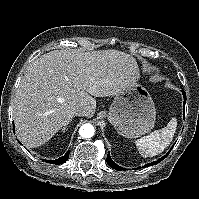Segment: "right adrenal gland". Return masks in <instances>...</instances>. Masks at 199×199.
Instances as JSON below:
<instances>
[{
    "mask_svg": "<svg viewBox=\"0 0 199 199\" xmlns=\"http://www.w3.org/2000/svg\"><path fill=\"white\" fill-rule=\"evenodd\" d=\"M69 124H70V121L62 128V132H65L67 130V127Z\"/></svg>",
    "mask_w": 199,
    "mask_h": 199,
    "instance_id": "right-adrenal-gland-1",
    "label": "right adrenal gland"
}]
</instances>
